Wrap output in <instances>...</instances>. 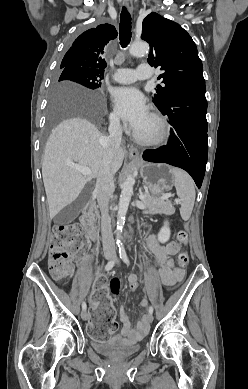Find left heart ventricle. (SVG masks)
<instances>
[{"label": "left heart ventricle", "mask_w": 248, "mask_h": 389, "mask_svg": "<svg viewBox=\"0 0 248 389\" xmlns=\"http://www.w3.org/2000/svg\"><path fill=\"white\" fill-rule=\"evenodd\" d=\"M158 131L156 122L148 115L143 124L136 129V132L144 137H152Z\"/></svg>", "instance_id": "left-heart-ventricle-1"}]
</instances>
